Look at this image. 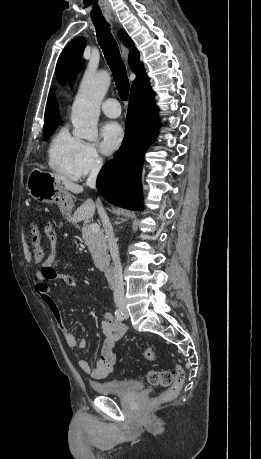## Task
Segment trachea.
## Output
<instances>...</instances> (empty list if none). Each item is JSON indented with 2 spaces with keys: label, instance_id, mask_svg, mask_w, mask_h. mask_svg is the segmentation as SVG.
Here are the masks:
<instances>
[{
  "label": "trachea",
  "instance_id": "trachea-1",
  "mask_svg": "<svg viewBox=\"0 0 261 459\" xmlns=\"http://www.w3.org/2000/svg\"><path fill=\"white\" fill-rule=\"evenodd\" d=\"M96 28L97 41L109 65L118 94L123 101L128 100L129 80L126 68L121 58L118 44L110 31V25L105 20H93Z\"/></svg>",
  "mask_w": 261,
  "mask_h": 459
}]
</instances>
